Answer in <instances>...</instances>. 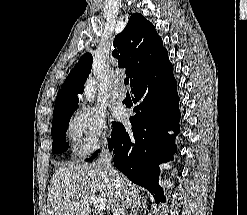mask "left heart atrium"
<instances>
[{"label":"left heart atrium","instance_id":"obj_1","mask_svg":"<svg viewBox=\"0 0 247 215\" xmlns=\"http://www.w3.org/2000/svg\"><path fill=\"white\" fill-rule=\"evenodd\" d=\"M121 116H122L121 111H117V112H116V117H121Z\"/></svg>","mask_w":247,"mask_h":215}]
</instances>
